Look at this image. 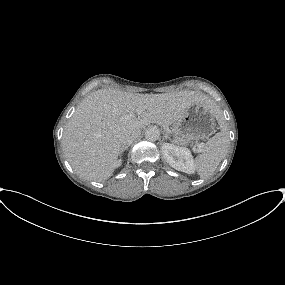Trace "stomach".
<instances>
[{
	"instance_id": "stomach-1",
	"label": "stomach",
	"mask_w": 285,
	"mask_h": 285,
	"mask_svg": "<svg viewBox=\"0 0 285 285\" xmlns=\"http://www.w3.org/2000/svg\"><path fill=\"white\" fill-rule=\"evenodd\" d=\"M216 128V115L204 104L192 105L171 128L173 142L182 146L206 139Z\"/></svg>"
}]
</instances>
